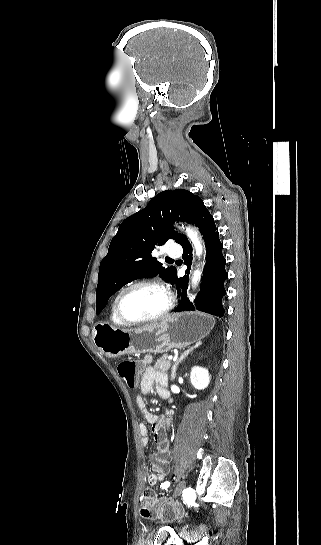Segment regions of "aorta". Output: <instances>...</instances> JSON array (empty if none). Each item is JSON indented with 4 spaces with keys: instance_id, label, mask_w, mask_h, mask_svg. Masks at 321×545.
<instances>
[{
    "instance_id": "762f6f07",
    "label": "aorta",
    "mask_w": 321,
    "mask_h": 545,
    "mask_svg": "<svg viewBox=\"0 0 321 545\" xmlns=\"http://www.w3.org/2000/svg\"><path fill=\"white\" fill-rule=\"evenodd\" d=\"M186 233H187L188 237L190 238V240L192 241V243H193V245H194V247L196 249L197 256H200L201 253H202L203 247L201 245V242L199 241L197 233L194 232L190 228L186 229ZM200 277H201V270H199V269L195 270L194 274H193V277H192V284L196 285L198 283V281L200 280Z\"/></svg>"
}]
</instances>
